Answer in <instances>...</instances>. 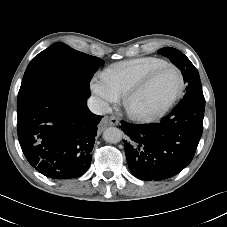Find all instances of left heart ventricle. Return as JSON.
<instances>
[{
  "mask_svg": "<svg viewBox=\"0 0 227 227\" xmlns=\"http://www.w3.org/2000/svg\"><path fill=\"white\" fill-rule=\"evenodd\" d=\"M179 75L174 69L159 73L150 85L130 103V108L139 113H152L161 109L176 93Z\"/></svg>",
  "mask_w": 227,
  "mask_h": 227,
  "instance_id": "1",
  "label": "left heart ventricle"
}]
</instances>
